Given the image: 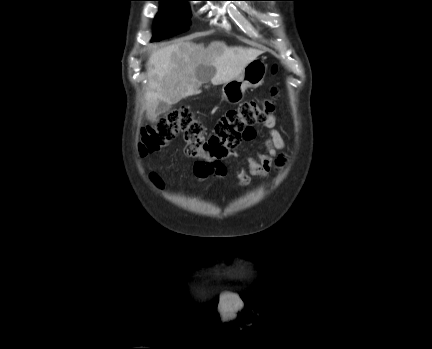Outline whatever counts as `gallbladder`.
I'll use <instances>...</instances> for the list:
<instances>
[{"label": "gallbladder", "mask_w": 432, "mask_h": 349, "mask_svg": "<svg viewBox=\"0 0 432 349\" xmlns=\"http://www.w3.org/2000/svg\"><path fill=\"white\" fill-rule=\"evenodd\" d=\"M170 109H171L170 104L163 102V101H160L156 107V114L157 115L164 114V113L168 112Z\"/></svg>", "instance_id": "bac80fb5"}]
</instances>
